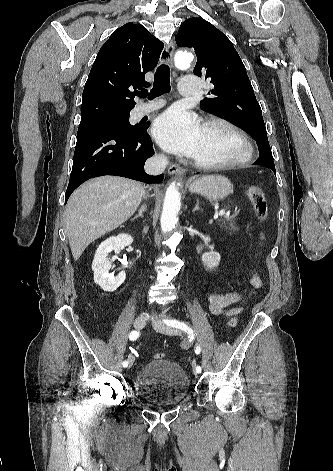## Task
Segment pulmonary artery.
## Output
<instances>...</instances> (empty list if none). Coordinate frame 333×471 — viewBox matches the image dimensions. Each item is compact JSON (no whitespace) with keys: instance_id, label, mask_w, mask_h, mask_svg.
I'll use <instances>...</instances> for the list:
<instances>
[{"instance_id":"1","label":"pulmonary artery","mask_w":333,"mask_h":471,"mask_svg":"<svg viewBox=\"0 0 333 471\" xmlns=\"http://www.w3.org/2000/svg\"><path fill=\"white\" fill-rule=\"evenodd\" d=\"M200 88L199 79L196 76H186L180 81L179 90L183 96H193ZM161 106L160 102L141 105L138 108L140 115L150 113Z\"/></svg>"}]
</instances>
